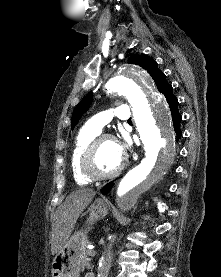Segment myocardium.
Segmentation results:
<instances>
[{
	"mask_svg": "<svg viewBox=\"0 0 221 277\" xmlns=\"http://www.w3.org/2000/svg\"><path fill=\"white\" fill-rule=\"evenodd\" d=\"M114 141L116 142V138L113 135L110 134H101L96 136L92 142L87 146L85 149L81 161H80V169L82 174L88 178L91 181H99V180H106V179H111L116 176H118L122 170L124 169L126 165V158L123 156L120 164L116 169L109 173H98L94 170L93 168V159L94 156L99 148V146L104 142V141Z\"/></svg>",
	"mask_w": 221,
	"mask_h": 277,
	"instance_id": "f54148a6",
	"label": "myocardium"
}]
</instances>
